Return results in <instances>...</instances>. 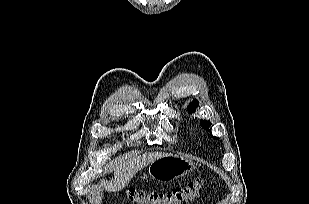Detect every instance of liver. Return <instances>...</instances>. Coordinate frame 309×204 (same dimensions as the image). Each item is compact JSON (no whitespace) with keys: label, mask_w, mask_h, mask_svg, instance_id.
Wrapping results in <instances>:
<instances>
[{"label":"liver","mask_w":309,"mask_h":204,"mask_svg":"<svg viewBox=\"0 0 309 204\" xmlns=\"http://www.w3.org/2000/svg\"><path fill=\"white\" fill-rule=\"evenodd\" d=\"M170 154L167 153H149L143 156H139L133 159H130L123 164L116 167L114 170V179L112 178L109 182H103L102 185L108 191H119L125 188L132 177L143 167L149 165L151 162L159 159L163 156Z\"/></svg>","instance_id":"1"}]
</instances>
